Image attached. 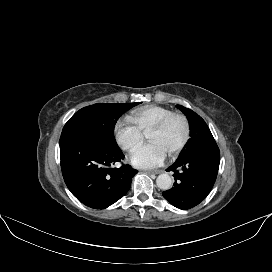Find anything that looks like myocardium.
<instances>
[{"label":"myocardium","instance_id":"myocardium-1","mask_svg":"<svg viewBox=\"0 0 272 272\" xmlns=\"http://www.w3.org/2000/svg\"><path fill=\"white\" fill-rule=\"evenodd\" d=\"M173 120H180L183 124V136L179 143L168 153L169 156L173 157L179 154L183 148L186 146V144L189 141L190 138V124L186 116L180 113H172L163 119H161L158 123H156L149 132H161L163 131L169 123H171Z\"/></svg>","mask_w":272,"mask_h":272}]
</instances>
